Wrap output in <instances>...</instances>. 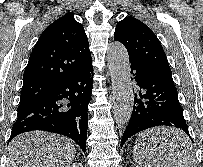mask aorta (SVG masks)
<instances>
[{"label":"aorta","mask_w":203,"mask_h":167,"mask_svg":"<svg viewBox=\"0 0 203 167\" xmlns=\"http://www.w3.org/2000/svg\"><path fill=\"white\" fill-rule=\"evenodd\" d=\"M114 98V117L118 126L126 125L132 115L134 96L130 78V62L126 48L120 42H112L107 49Z\"/></svg>","instance_id":"1"}]
</instances>
